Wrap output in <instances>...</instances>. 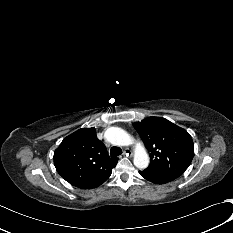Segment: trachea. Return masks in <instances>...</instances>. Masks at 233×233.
I'll use <instances>...</instances> for the list:
<instances>
[{"label": "trachea", "mask_w": 233, "mask_h": 233, "mask_svg": "<svg viewBox=\"0 0 233 233\" xmlns=\"http://www.w3.org/2000/svg\"><path fill=\"white\" fill-rule=\"evenodd\" d=\"M121 154H122V150L119 147L113 146L110 149V155H111V157H117V156H119Z\"/></svg>", "instance_id": "trachea-1"}]
</instances>
